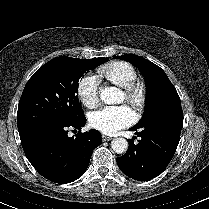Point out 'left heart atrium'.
I'll return each mask as SVG.
<instances>
[{
	"mask_svg": "<svg viewBox=\"0 0 209 209\" xmlns=\"http://www.w3.org/2000/svg\"><path fill=\"white\" fill-rule=\"evenodd\" d=\"M135 112L126 105L104 106L89 115L90 125L106 134H113L132 124Z\"/></svg>",
	"mask_w": 209,
	"mask_h": 209,
	"instance_id": "obj_1",
	"label": "left heart atrium"
}]
</instances>
